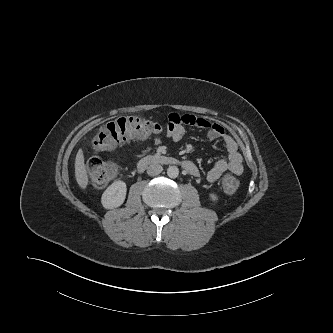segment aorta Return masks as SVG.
<instances>
[{
    "label": "aorta",
    "instance_id": "762f6f07",
    "mask_svg": "<svg viewBox=\"0 0 333 333\" xmlns=\"http://www.w3.org/2000/svg\"><path fill=\"white\" fill-rule=\"evenodd\" d=\"M167 175L170 178H177L179 175V169L176 166H169L167 169Z\"/></svg>",
    "mask_w": 333,
    "mask_h": 333
}]
</instances>
